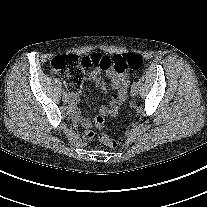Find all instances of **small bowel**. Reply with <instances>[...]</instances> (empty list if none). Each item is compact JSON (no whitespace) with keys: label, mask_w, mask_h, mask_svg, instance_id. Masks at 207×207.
<instances>
[{"label":"small bowel","mask_w":207,"mask_h":207,"mask_svg":"<svg viewBox=\"0 0 207 207\" xmlns=\"http://www.w3.org/2000/svg\"><path fill=\"white\" fill-rule=\"evenodd\" d=\"M107 77L110 79L112 87L116 90V93L112 96L109 106H101L99 109V116L109 117L115 116L122 103L127 97V88L129 86L128 75L124 72H117L114 69H109L106 71ZM88 79L93 81L101 92L105 90L104 82L102 79V71L100 69H95L88 74ZM80 92L70 93L69 103L70 110L75 121L79 122L84 128L88 129L92 126V121L87 118H83L80 115L78 109Z\"/></svg>","instance_id":"1"}]
</instances>
